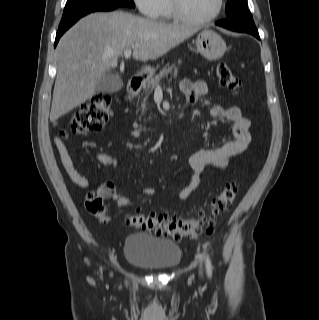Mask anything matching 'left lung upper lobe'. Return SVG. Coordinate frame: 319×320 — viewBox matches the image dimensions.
Segmentation results:
<instances>
[{"label": "left lung upper lobe", "mask_w": 319, "mask_h": 320, "mask_svg": "<svg viewBox=\"0 0 319 320\" xmlns=\"http://www.w3.org/2000/svg\"><path fill=\"white\" fill-rule=\"evenodd\" d=\"M226 15L228 19H239L253 22L246 0H228L226 3Z\"/></svg>", "instance_id": "obj_1"}]
</instances>
